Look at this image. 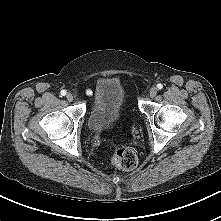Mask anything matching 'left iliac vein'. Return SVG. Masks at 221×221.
Instances as JSON below:
<instances>
[{"label": "left iliac vein", "instance_id": "left-iliac-vein-1", "mask_svg": "<svg viewBox=\"0 0 221 221\" xmlns=\"http://www.w3.org/2000/svg\"><path fill=\"white\" fill-rule=\"evenodd\" d=\"M157 88L156 87H152L151 89H150V91H149V96L151 97V98H154L155 96H156V94H157Z\"/></svg>", "mask_w": 221, "mask_h": 221}]
</instances>
